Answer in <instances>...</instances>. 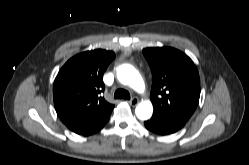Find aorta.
Here are the masks:
<instances>
[{"label":"aorta","mask_w":249,"mask_h":165,"mask_svg":"<svg viewBox=\"0 0 249 165\" xmlns=\"http://www.w3.org/2000/svg\"><path fill=\"white\" fill-rule=\"evenodd\" d=\"M117 78L122 84L130 86L139 93H142L145 89V84L141 75L130 65L120 66L117 70ZM152 113L153 106L149 100L141 101L135 109V114L140 120L150 119Z\"/></svg>","instance_id":"1"}]
</instances>
